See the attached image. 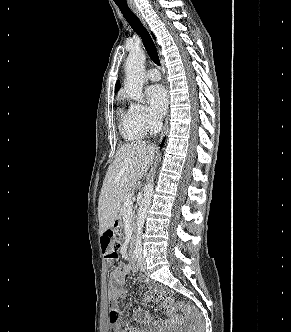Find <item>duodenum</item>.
<instances>
[{"instance_id": "duodenum-1", "label": "duodenum", "mask_w": 291, "mask_h": 332, "mask_svg": "<svg viewBox=\"0 0 291 332\" xmlns=\"http://www.w3.org/2000/svg\"><path fill=\"white\" fill-rule=\"evenodd\" d=\"M129 256L133 257L134 256V247L133 245L130 246V249H129Z\"/></svg>"}]
</instances>
